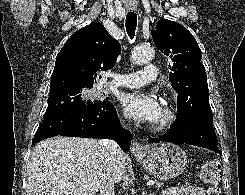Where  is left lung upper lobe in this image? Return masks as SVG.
Returning a JSON list of instances; mask_svg holds the SVG:
<instances>
[{
  "instance_id": "1",
  "label": "left lung upper lobe",
  "mask_w": 245,
  "mask_h": 195,
  "mask_svg": "<svg viewBox=\"0 0 245 195\" xmlns=\"http://www.w3.org/2000/svg\"><path fill=\"white\" fill-rule=\"evenodd\" d=\"M152 37L156 47L172 61L169 80L178 93V118L200 115L213 119L201 50L193 35L179 23L161 19Z\"/></svg>"
}]
</instances>
